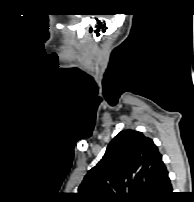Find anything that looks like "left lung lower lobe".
<instances>
[{"label": "left lung lower lobe", "mask_w": 194, "mask_h": 202, "mask_svg": "<svg viewBox=\"0 0 194 202\" xmlns=\"http://www.w3.org/2000/svg\"><path fill=\"white\" fill-rule=\"evenodd\" d=\"M172 186L170 183V179L168 177L167 169L163 171V174L160 178L159 185L155 192V196L151 201L155 202H169L172 197Z\"/></svg>", "instance_id": "left-lung-lower-lobe-1"}]
</instances>
